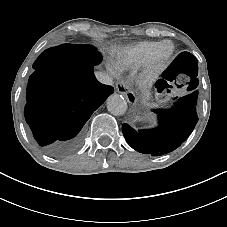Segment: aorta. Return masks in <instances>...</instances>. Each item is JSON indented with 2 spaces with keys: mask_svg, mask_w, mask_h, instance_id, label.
<instances>
[{
  "mask_svg": "<svg viewBox=\"0 0 227 227\" xmlns=\"http://www.w3.org/2000/svg\"><path fill=\"white\" fill-rule=\"evenodd\" d=\"M106 105L108 111L115 116L123 115L127 110V102L119 94L109 96Z\"/></svg>",
  "mask_w": 227,
  "mask_h": 227,
  "instance_id": "1",
  "label": "aorta"
}]
</instances>
